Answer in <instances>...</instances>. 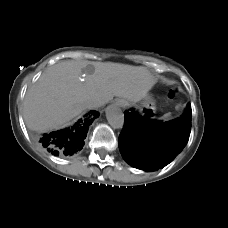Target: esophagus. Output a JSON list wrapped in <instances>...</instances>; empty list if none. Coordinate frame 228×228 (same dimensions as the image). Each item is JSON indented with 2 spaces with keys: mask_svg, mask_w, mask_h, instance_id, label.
<instances>
[{
  "mask_svg": "<svg viewBox=\"0 0 228 228\" xmlns=\"http://www.w3.org/2000/svg\"><path fill=\"white\" fill-rule=\"evenodd\" d=\"M119 102H120V101H118V102H117V103H118V105H121Z\"/></svg>",
  "mask_w": 228,
  "mask_h": 228,
  "instance_id": "obj_1",
  "label": "esophagus"
}]
</instances>
